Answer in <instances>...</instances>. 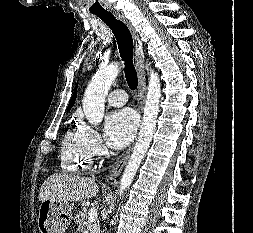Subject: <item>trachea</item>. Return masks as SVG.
<instances>
[{"mask_svg":"<svg viewBox=\"0 0 253 233\" xmlns=\"http://www.w3.org/2000/svg\"><path fill=\"white\" fill-rule=\"evenodd\" d=\"M96 15L106 23L114 33L119 53L124 61L125 78L130 89L135 90L138 86V78L133 65V39L128 27L112 15L110 12L96 13Z\"/></svg>","mask_w":253,"mask_h":233,"instance_id":"1","label":"trachea"}]
</instances>
